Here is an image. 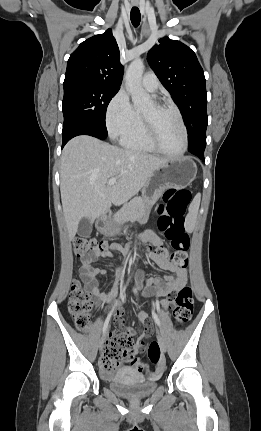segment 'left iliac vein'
Segmentation results:
<instances>
[{"label":"left iliac vein","mask_w":261,"mask_h":431,"mask_svg":"<svg viewBox=\"0 0 261 431\" xmlns=\"http://www.w3.org/2000/svg\"><path fill=\"white\" fill-rule=\"evenodd\" d=\"M135 292H136V290H135ZM158 341H159V345H160L161 349L164 352H166L167 351L166 342H165V340L161 334L158 335Z\"/></svg>","instance_id":"1"}]
</instances>
